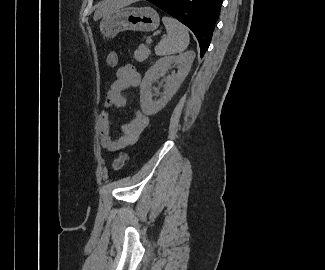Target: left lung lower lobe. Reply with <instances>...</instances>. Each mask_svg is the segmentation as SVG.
Masks as SVG:
<instances>
[{"mask_svg":"<svg viewBox=\"0 0 325 270\" xmlns=\"http://www.w3.org/2000/svg\"><path fill=\"white\" fill-rule=\"evenodd\" d=\"M192 30L201 57L210 45L223 0H147Z\"/></svg>","mask_w":325,"mask_h":270,"instance_id":"obj_1","label":"left lung lower lobe"}]
</instances>
